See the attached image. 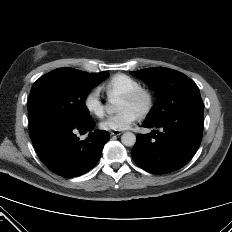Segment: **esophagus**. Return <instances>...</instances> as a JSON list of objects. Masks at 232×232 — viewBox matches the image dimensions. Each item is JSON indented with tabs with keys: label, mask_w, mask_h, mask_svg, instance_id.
Returning <instances> with one entry per match:
<instances>
[{
	"label": "esophagus",
	"mask_w": 232,
	"mask_h": 232,
	"mask_svg": "<svg viewBox=\"0 0 232 232\" xmlns=\"http://www.w3.org/2000/svg\"><path fill=\"white\" fill-rule=\"evenodd\" d=\"M110 135L111 136H119V135H121V132L120 131H110Z\"/></svg>",
	"instance_id": "34e87169"
}]
</instances>
